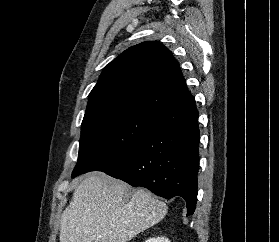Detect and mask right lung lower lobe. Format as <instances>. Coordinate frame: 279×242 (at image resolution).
Listing matches in <instances>:
<instances>
[{
    "mask_svg": "<svg viewBox=\"0 0 279 242\" xmlns=\"http://www.w3.org/2000/svg\"><path fill=\"white\" fill-rule=\"evenodd\" d=\"M198 148V111L192 101L160 113L144 140L99 171L167 199L180 196L189 216L197 201Z\"/></svg>",
    "mask_w": 279,
    "mask_h": 242,
    "instance_id": "1",
    "label": "right lung lower lobe"
}]
</instances>
